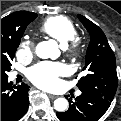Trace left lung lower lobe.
<instances>
[{"label": "left lung lower lobe", "mask_w": 121, "mask_h": 121, "mask_svg": "<svg viewBox=\"0 0 121 121\" xmlns=\"http://www.w3.org/2000/svg\"><path fill=\"white\" fill-rule=\"evenodd\" d=\"M111 101L90 93H84L75 101H70L69 109L66 112H57L60 121H97L107 111Z\"/></svg>", "instance_id": "left-lung-lower-lobe-1"}]
</instances>
